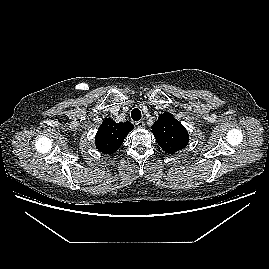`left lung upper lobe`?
Here are the masks:
<instances>
[{
  "mask_svg": "<svg viewBox=\"0 0 269 269\" xmlns=\"http://www.w3.org/2000/svg\"><path fill=\"white\" fill-rule=\"evenodd\" d=\"M159 146L168 154H174L188 145V133L170 113H163L152 127Z\"/></svg>",
  "mask_w": 269,
  "mask_h": 269,
  "instance_id": "obj_1",
  "label": "left lung upper lobe"
}]
</instances>
